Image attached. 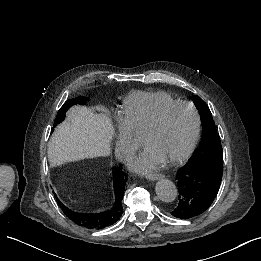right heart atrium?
Returning a JSON list of instances; mask_svg holds the SVG:
<instances>
[{
    "instance_id": "d8ad5b80",
    "label": "right heart atrium",
    "mask_w": 261,
    "mask_h": 261,
    "mask_svg": "<svg viewBox=\"0 0 261 261\" xmlns=\"http://www.w3.org/2000/svg\"><path fill=\"white\" fill-rule=\"evenodd\" d=\"M119 113V122H118V149L121 147L126 148V150L129 149L130 143L128 142L129 135L131 132V124L129 120L122 116L121 111L117 109Z\"/></svg>"
}]
</instances>
